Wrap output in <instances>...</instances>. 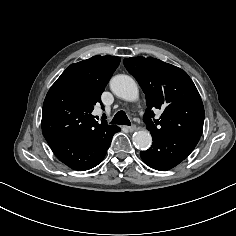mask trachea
<instances>
[{
  "instance_id": "obj_1",
  "label": "trachea",
  "mask_w": 236,
  "mask_h": 236,
  "mask_svg": "<svg viewBox=\"0 0 236 236\" xmlns=\"http://www.w3.org/2000/svg\"><path fill=\"white\" fill-rule=\"evenodd\" d=\"M111 124L128 125V126L131 125L130 120L128 119L124 111L117 112L114 118L112 119Z\"/></svg>"
}]
</instances>
